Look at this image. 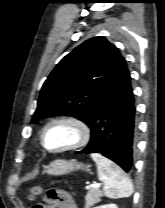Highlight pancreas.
Returning a JSON list of instances; mask_svg holds the SVG:
<instances>
[{
  "mask_svg": "<svg viewBox=\"0 0 165 208\" xmlns=\"http://www.w3.org/2000/svg\"><path fill=\"white\" fill-rule=\"evenodd\" d=\"M101 196H102V193L99 189L91 188L85 196V207L84 208H90L94 204L100 202Z\"/></svg>",
  "mask_w": 165,
  "mask_h": 208,
  "instance_id": "obj_1",
  "label": "pancreas"
}]
</instances>
